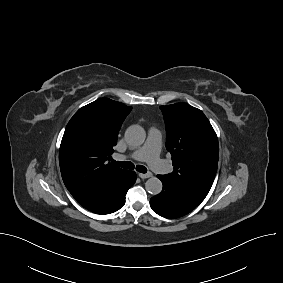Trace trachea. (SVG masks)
<instances>
[{
    "label": "trachea",
    "instance_id": "trachea-1",
    "mask_svg": "<svg viewBox=\"0 0 283 283\" xmlns=\"http://www.w3.org/2000/svg\"><path fill=\"white\" fill-rule=\"evenodd\" d=\"M114 164L118 165L121 168L124 169H134L136 168V170L140 173H146L147 172V168L143 165H137L136 167L134 166V164L132 162L129 161H112Z\"/></svg>",
    "mask_w": 283,
    "mask_h": 283
}]
</instances>
